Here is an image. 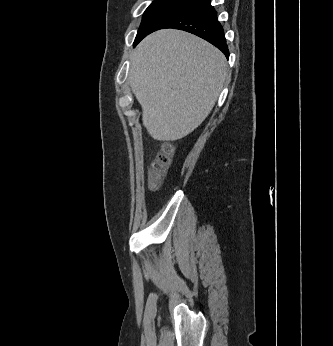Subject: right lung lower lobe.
Here are the masks:
<instances>
[{"instance_id": "obj_1", "label": "right lung lower lobe", "mask_w": 333, "mask_h": 346, "mask_svg": "<svg viewBox=\"0 0 333 346\" xmlns=\"http://www.w3.org/2000/svg\"><path fill=\"white\" fill-rule=\"evenodd\" d=\"M163 28L180 29L195 34L229 57L224 30L210 0H188Z\"/></svg>"}]
</instances>
